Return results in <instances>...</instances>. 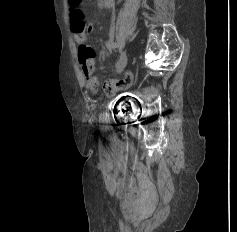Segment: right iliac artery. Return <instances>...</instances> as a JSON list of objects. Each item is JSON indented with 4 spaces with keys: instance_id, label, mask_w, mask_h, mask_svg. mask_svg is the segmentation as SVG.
I'll list each match as a JSON object with an SVG mask.
<instances>
[{
    "instance_id": "obj_1",
    "label": "right iliac artery",
    "mask_w": 237,
    "mask_h": 232,
    "mask_svg": "<svg viewBox=\"0 0 237 232\" xmlns=\"http://www.w3.org/2000/svg\"><path fill=\"white\" fill-rule=\"evenodd\" d=\"M111 45H112L113 48H116L118 46V44L116 42H112Z\"/></svg>"
}]
</instances>
